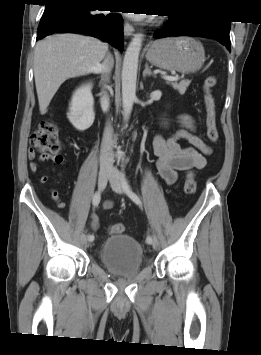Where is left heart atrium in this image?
I'll list each match as a JSON object with an SVG mask.
<instances>
[{"instance_id": "1", "label": "left heart atrium", "mask_w": 261, "mask_h": 355, "mask_svg": "<svg viewBox=\"0 0 261 355\" xmlns=\"http://www.w3.org/2000/svg\"><path fill=\"white\" fill-rule=\"evenodd\" d=\"M131 17H133V18H136V19H140V18H143L144 16H142L141 14L139 15V14H132L131 15Z\"/></svg>"}]
</instances>
